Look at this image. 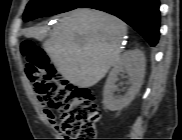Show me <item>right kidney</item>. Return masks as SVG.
<instances>
[{
	"instance_id": "ca27d5eb",
	"label": "right kidney",
	"mask_w": 182,
	"mask_h": 140,
	"mask_svg": "<svg viewBox=\"0 0 182 140\" xmlns=\"http://www.w3.org/2000/svg\"><path fill=\"white\" fill-rule=\"evenodd\" d=\"M145 56L140 50L126 52L110 71L103 92V105L111 111L121 110L129 105L143 83L145 75ZM126 72L129 76V85L127 92L117 97L114 92L117 90L115 85L118 75Z\"/></svg>"
}]
</instances>
